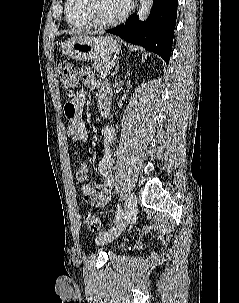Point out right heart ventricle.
Here are the masks:
<instances>
[{
    "mask_svg": "<svg viewBox=\"0 0 239 303\" xmlns=\"http://www.w3.org/2000/svg\"><path fill=\"white\" fill-rule=\"evenodd\" d=\"M83 3L84 0H65V18L72 29L85 30L93 26L84 15Z\"/></svg>",
    "mask_w": 239,
    "mask_h": 303,
    "instance_id": "obj_1",
    "label": "right heart ventricle"
}]
</instances>
